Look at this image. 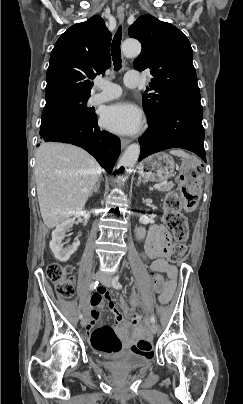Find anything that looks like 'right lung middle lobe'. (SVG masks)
Listing matches in <instances>:
<instances>
[{
    "label": "right lung middle lobe",
    "mask_w": 243,
    "mask_h": 404,
    "mask_svg": "<svg viewBox=\"0 0 243 404\" xmlns=\"http://www.w3.org/2000/svg\"><path fill=\"white\" fill-rule=\"evenodd\" d=\"M88 99L89 96L73 97L46 103L42 113L41 125L66 114H79L88 118L97 117L94 108L87 107Z\"/></svg>",
    "instance_id": "obj_1"
}]
</instances>
